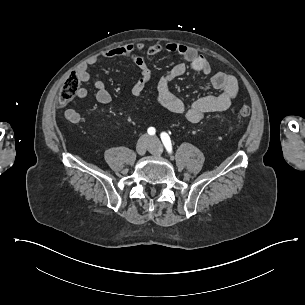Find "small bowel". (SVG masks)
Instances as JSON below:
<instances>
[{"label": "small bowel", "instance_id": "obj_1", "mask_svg": "<svg viewBox=\"0 0 305 305\" xmlns=\"http://www.w3.org/2000/svg\"><path fill=\"white\" fill-rule=\"evenodd\" d=\"M163 51L181 56L185 63L182 62L174 65L159 79L156 87V100L160 106L174 114L184 116L188 122L194 124L199 123L208 113L225 111L230 107L238 91L236 78L222 71H213L209 61L203 55L199 54L196 49L176 42L155 43L149 46H145L141 42H136L114 47L89 57L79 66L76 75L79 82H90V66L98 63L102 59L125 57L131 60L138 71V78L129 89L130 94L138 93L142 95L151 77V69L147 57L156 56ZM186 63L194 70L209 76L210 85L220 90V93L215 96L208 95L200 97L190 105H185L183 100L170 90V84L173 80L186 73ZM93 88L96 91V99L100 104L107 105L111 102V94L102 81H95ZM87 95L88 91L84 87H79L76 91V97L78 99H84ZM64 116L73 124H77L81 120L80 114L72 108L67 109L64 112Z\"/></svg>", "mask_w": 305, "mask_h": 305}]
</instances>
